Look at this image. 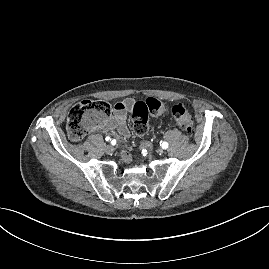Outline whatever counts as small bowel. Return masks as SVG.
Returning <instances> with one entry per match:
<instances>
[{"label":"small bowel","instance_id":"1","mask_svg":"<svg viewBox=\"0 0 269 269\" xmlns=\"http://www.w3.org/2000/svg\"><path fill=\"white\" fill-rule=\"evenodd\" d=\"M134 103L135 101L132 98L115 102L113 114L105 121L101 128L108 132L117 131L121 137L128 138L130 131L126 124V117L127 113L133 108ZM121 157L127 163L131 160L130 155L125 151L121 153Z\"/></svg>","mask_w":269,"mask_h":269}]
</instances>
